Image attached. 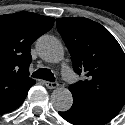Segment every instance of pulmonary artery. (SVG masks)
<instances>
[{
  "mask_svg": "<svg viewBox=\"0 0 125 125\" xmlns=\"http://www.w3.org/2000/svg\"><path fill=\"white\" fill-rule=\"evenodd\" d=\"M61 73L68 84H73L76 82V76L70 69L62 68Z\"/></svg>",
  "mask_w": 125,
  "mask_h": 125,
  "instance_id": "pulmonary-artery-1",
  "label": "pulmonary artery"
}]
</instances>
